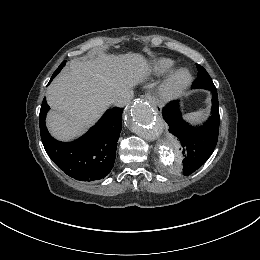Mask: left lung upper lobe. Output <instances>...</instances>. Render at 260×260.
<instances>
[{
	"instance_id": "left-lung-upper-lobe-1",
	"label": "left lung upper lobe",
	"mask_w": 260,
	"mask_h": 260,
	"mask_svg": "<svg viewBox=\"0 0 260 260\" xmlns=\"http://www.w3.org/2000/svg\"><path fill=\"white\" fill-rule=\"evenodd\" d=\"M197 67L199 73L197 79L193 83V88H204L207 90L215 89L216 87L207 71L200 65H197Z\"/></svg>"
}]
</instances>
